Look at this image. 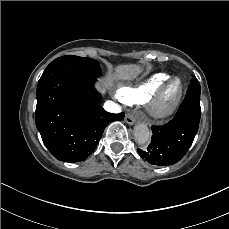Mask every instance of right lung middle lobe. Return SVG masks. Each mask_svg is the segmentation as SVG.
<instances>
[{
    "label": "right lung middle lobe",
    "mask_w": 229,
    "mask_h": 229,
    "mask_svg": "<svg viewBox=\"0 0 229 229\" xmlns=\"http://www.w3.org/2000/svg\"><path fill=\"white\" fill-rule=\"evenodd\" d=\"M82 73L98 77L101 75L99 63L90 58L66 55L53 60L44 70L38 84L61 73Z\"/></svg>",
    "instance_id": "1"
}]
</instances>
